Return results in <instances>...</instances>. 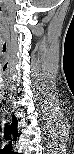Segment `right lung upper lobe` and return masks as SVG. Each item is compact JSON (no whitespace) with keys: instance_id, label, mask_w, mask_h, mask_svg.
Here are the masks:
<instances>
[{"instance_id":"cb5924a9","label":"right lung upper lobe","mask_w":74,"mask_h":154,"mask_svg":"<svg viewBox=\"0 0 74 154\" xmlns=\"http://www.w3.org/2000/svg\"><path fill=\"white\" fill-rule=\"evenodd\" d=\"M17 120H16V118H15V116H13V122H12V128H13V130H14V133H15V135H17L18 134V132H17ZM17 133V134H16Z\"/></svg>"}]
</instances>
